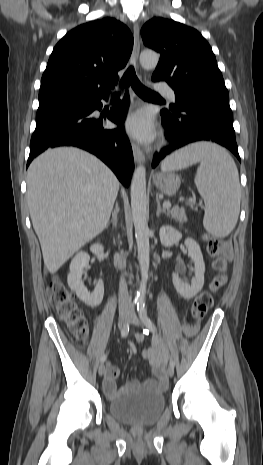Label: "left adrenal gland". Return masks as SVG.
I'll return each mask as SVG.
<instances>
[{
    "mask_svg": "<svg viewBox=\"0 0 263 465\" xmlns=\"http://www.w3.org/2000/svg\"><path fill=\"white\" fill-rule=\"evenodd\" d=\"M156 202H157L156 216L158 217L161 213H164V214H166L167 216H169V213H167L165 209H162V208H161L159 199H156Z\"/></svg>",
    "mask_w": 263,
    "mask_h": 465,
    "instance_id": "left-adrenal-gland-1",
    "label": "left adrenal gland"
}]
</instances>
